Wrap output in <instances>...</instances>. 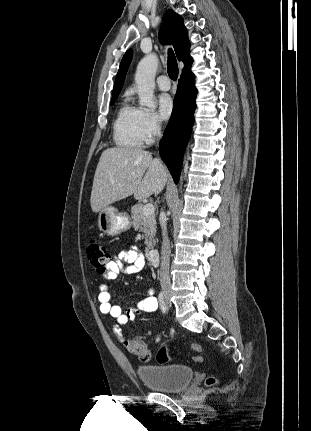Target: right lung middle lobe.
<instances>
[{
	"mask_svg": "<svg viewBox=\"0 0 311 431\" xmlns=\"http://www.w3.org/2000/svg\"><path fill=\"white\" fill-rule=\"evenodd\" d=\"M117 97L112 98L110 105H113Z\"/></svg>",
	"mask_w": 311,
	"mask_h": 431,
	"instance_id": "1",
	"label": "right lung middle lobe"
}]
</instances>
